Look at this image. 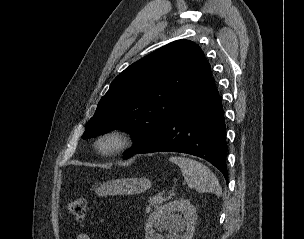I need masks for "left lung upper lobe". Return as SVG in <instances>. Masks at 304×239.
I'll return each instance as SVG.
<instances>
[{
    "instance_id": "obj_1",
    "label": "left lung upper lobe",
    "mask_w": 304,
    "mask_h": 239,
    "mask_svg": "<svg viewBox=\"0 0 304 239\" xmlns=\"http://www.w3.org/2000/svg\"><path fill=\"white\" fill-rule=\"evenodd\" d=\"M211 78L201 48L189 40L171 42L121 72L98 103L82 138L124 129L135 147L147 144Z\"/></svg>"
}]
</instances>
